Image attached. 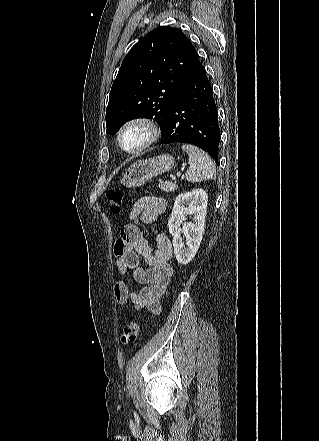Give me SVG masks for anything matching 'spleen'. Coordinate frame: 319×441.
Listing matches in <instances>:
<instances>
[{
  "label": "spleen",
  "mask_w": 319,
  "mask_h": 441,
  "mask_svg": "<svg viewBox=\"0 0 319 441\" xmlns=\"http://www.w3.org/2000/svg\"><path fill=\"white\" fill-rule=\"evenodd\" d=\"M189 156V169L185 178L189 182H200L216 178V169L211 158L201 149L190 144L182 145Z\"/></svg>",
  "instance_id": "obj_1"
}]
</instances>
